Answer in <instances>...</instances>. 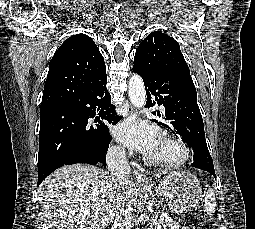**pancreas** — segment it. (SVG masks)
<instances>
[{"label": "pancreas", "instance_id": "1", "mask_svg": "<svg viewBox=\"0 0 255 229\" xmlns=\"http://www.w3.org/2000/svg\"><path fill=\"white\" fill-rule=\"evenodd\" d=\"M180 221H181V219H179V221H176L174 219L167 218L162 222V227H163V229H179Z\"/></svg>", "mask_w": 255, "mask_h": 229}]
</instances>
